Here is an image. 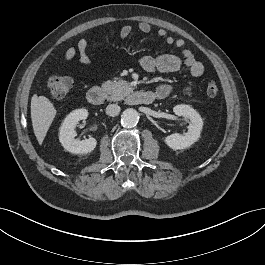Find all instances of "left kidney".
Here are the masks:
<instances>
[{"mask_svg":"<svg viewBox=\"0 0 265 265\" xmlns=\"http://www.w3.org/2000/svg\"><path fill=\"white\" fill-rule=\"evenodd\" d=\"M173 112L177 116H183L190 120L188 131L184 134L169 135L164 141L173 150L186 149L199 139L203 120L199 113L189 105H177L173 108Z\"/></svg>","mask_w":265,"mask_h":265,"instance_id":"1","label":"left kidney"}]
</instances>
